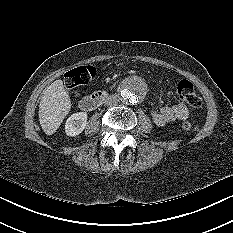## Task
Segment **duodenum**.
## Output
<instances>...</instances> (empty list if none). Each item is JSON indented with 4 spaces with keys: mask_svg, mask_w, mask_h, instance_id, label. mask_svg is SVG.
<instances>
[{
    "mask_svg": "<svg viewBox=\"0 0 233 233\" xmlns=\"http://www.w3.org/2000/svg\"><path fill=\"white\" fill-rule=\"evenodd\" d=\"M108 97L106 91H97L88 96L81 98L79 107L84 111H92L99 107L103 101Z\"/></svg>",
    "mask_w": 233,
    "mask_h": 233,
    "instance_id": "1",
    "label": "duodenum"
}]
</instances>
